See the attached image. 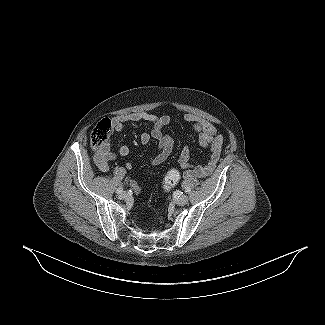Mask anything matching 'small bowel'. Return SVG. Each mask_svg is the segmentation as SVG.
Masks as SVG:
<instances>
[{"label": "small bowel", "instance_id": "small-bowel-1", "mask_svg": "<svg viewBox=\"0 0 325 325\" xmlns=\"http://www.w3.org/2000/svg\"><path fill=\"white\" fill-rule=\"evenodd\" d=\"M185 121L191 124L193 130L198 134V140L200 145L211 151L210 157L206 163L191 164L190 156L191 150L189 147H184L179 155V165L184 170V177L186 179L193 177H208L210 176L215 167L217 166L223 147V137L216 133L214 127L203 120L196 118L191 114L185 115ZM144 121L152 124L150 132H144L140 136L142 144H147L151 139H155L158 142L157 154L149 159V162L153 165L163 163L172 154L174 148V142L170 135L165 134L163 129L170 123L168 116H157L148 112H133L116 116L112 120V130L114 132H120L124 129L125 125L129 122ZM129 154V147L126 145L121 146L117 153L111 150V138L109 137L106 144L98 149L94 153V161L97 167L101 171H107L109 169V163L119 156H127ZM126 169L131 168V164L125 165ZM129 185L135 193H139L141 190L140 185L130 180Z\"/></svg>", "mask_w": 325, "mask_h": 325}]
</instances>
